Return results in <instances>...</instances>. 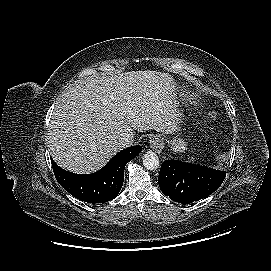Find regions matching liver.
<instances>
[{"label": "liver", "mask_w": 271, "mask_h": 271, "mask_svg": "<svg viewBox=\"0 0 271 271\" xmlns=\"http://www.w3.org/2000/svg\"><path fill=\"white\" fill-rule=\"evenodd\" d=\"M168 73L130 71L77 81L56 101L48 133L50 155L62 168L92 173L118 151L123 133H171L176 113Z\"/></svg>", "instance_id": "1"}]
</instances>
